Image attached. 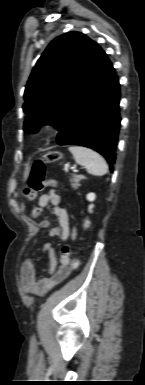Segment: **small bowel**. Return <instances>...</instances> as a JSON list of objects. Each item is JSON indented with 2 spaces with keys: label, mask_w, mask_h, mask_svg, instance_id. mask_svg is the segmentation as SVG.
Instances as JSON below:
<instances>
[{
  "label": "small bowel",
  "mask_w": 145,
  "mask_h": 385,
  "mask_svg": "<svg viewBox=\"0 0 145 385\" xmlns=\"http://www.w3.org/2000/svg\"><path fill=\"white\" fill-rule=\"evenodd\" d=\"M48 184L54 187L57 185V182L54 179H50ZM49 205L52 206L58 223L57 227L50 230L49 237L58 238L60 240H66L70 236L74 237V233H71L68 212L62 205L60 196L54 190H50L39 196L38 206L32 210V216L39 217L42 213V209ZM36 210L40 211L39 214H35ZM38 225L41 228H47L49 222L47 220H42ZM43 250L47 254L49 262L48 274L46 276L41 278L38 277L37 268L33 260L26 259L22 263L20 283L23 292L27 295L43 297L52 288L65 280L74 269L68 257L63 255L60 257V264L58 265L55 247L50 242L44 244Z\"/></svg>",
  "instance_id": "small-bowel-1"
}]
</instances>
